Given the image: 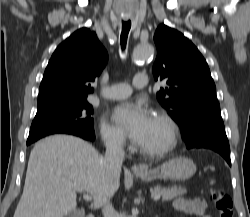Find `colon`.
<instances>
[{"label": "colon", "instance_id": "colon-1", "mask_svg": "<svg viewBox=\"0 0 250 217\" xmlns=\"http://www.w3.org/2000/svg\"><path fill=\"white\" fill-rule=\"evenodd\" d=\"M210 197L219 217H234L232 199L224 190L220 188H212L210 191Z\"/></svg>", "mask_w": 250, "mask_h": 217}]
</instances>
